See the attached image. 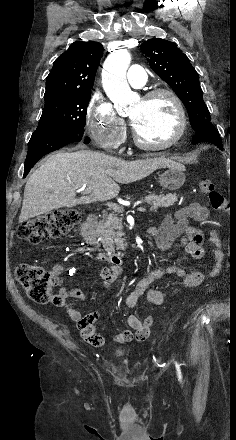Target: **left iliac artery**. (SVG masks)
I'll list each match as a JSON object with an SVG mask.
<instances>
[{
  "label": "left iliac artery",
  "mask_w": 236,
  "mask_h": 440,
  "mask_svg": "<svg viewBox=\"0 0 236 440\" xmlns=\"http://www.w3.org/2000/svg\"><path fill=\"white\" fill-rule=\"evenodd\" d=\"M175 365H176L177 375H178L179 381H181V379H182V375H181L180 366H179V364H177V363H175Z\"/></svg>",
  "instance_id": "1"
}]
</instances>
